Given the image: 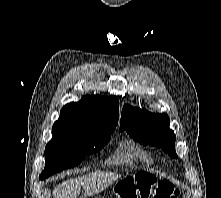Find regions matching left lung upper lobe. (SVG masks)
<instances>
[{
  "mask_svg": "<svg viewBox=\"0 0 221 198\" xmlns=\"http://www.w3.org/2000/svg\"><path fill=\"white\" fill-rule=\"evenodd\" d=\"M169 124L166 114H154L126 104L121 114L120 131L126 130L140 144L160 147L169 156L177 158L176 136Z\"/></svg>",
  "mask_w": 221,
  "mask_h": 198,
  "instance_id": "5c2ea615",
  "label": "left lung upper lobe"
}]
</instances>
